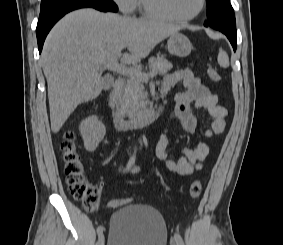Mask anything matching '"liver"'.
<instances>
[{
    "label": "liver",
    "instance_id": "obj_1",
    "mask_svg": "<svg viewBox=\"0 0 283 245\" xmlns=\"http://www.w3.org/2000/svg\"><path fill=\"white\" fill-rule=\"evenodd\" d=\"M178 27L80 9L63 17L44 43L41 61L48 84L51 130L58 133L75 108L100 95L102 66L138 63ZM127 48L129 53L122 54Z\"/></svg>",
    "mask_w": 283,
    "mask_h": 245
}]
</instances>
